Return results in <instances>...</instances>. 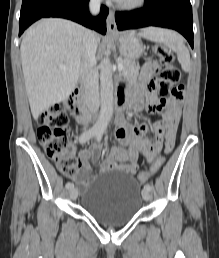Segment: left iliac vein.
Returning <instances> with one entry per match:
<instances>
[{"mask_svg":"<svg viewBox=\"0 0 219 258\" xmlns=\"http://www.w3.org/2000/svg\"><path fill=\"white\" fill-rule=\"evenodd\" d=\"M142 197L145 201H148L151 199V192L147 189L142 190Z\"/></svg>","mask_w":219,"mask_h":258,"instance_id":"1","label":"left iliac vein"}]
</instances>
